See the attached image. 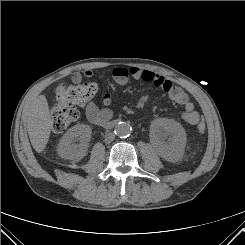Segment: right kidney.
I'll list each match as a JSON object with an SVG mask.
<instances>
[{
  "mask_svg": "<svg viewBox=\"0 0 245 245\" xmlns=\"http://www.w3.org/2000/svg\"><path fill=\"white\" fill-rule=\"evenodd\" d=\"M91 133V128L85 124H78L68 129L58 144L59 156L70 160L82 159L89 146Z\"/></svg>",
  "mask_w": 245,
  "mask_h": 245,
  "instance_id": "1",
  "label": "right kidney"
}]
</instances>
